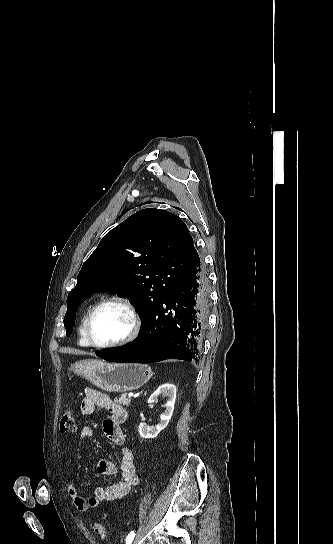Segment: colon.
<instances>
[{"mask_svg": "<svg viewBox=\"0 0 333 544\" xmlns=\"http://www.w3.org/2000/svg\"><path fill=\"white\" fill-rule=\"evenodd\" d=\"M59 428L62 433L73 432L75 430L76 419L75 414L72 410L65 412L64 415L61 417ZM92 529L102 539H107L109 537L108 529L102 523H93Z\"/></svg>", "mask_w": 333, "mask_h": 544, "instance_id": "1", "label": "colon"}]
</instances>
